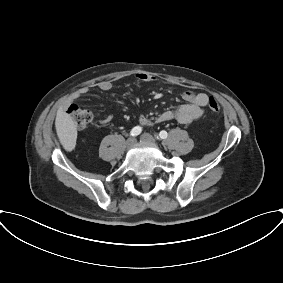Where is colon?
Listing matches in <instances>:
<instances>
[{"mask_svg":"<svg viewBox=\"0 0 283 283\" xmlns=\"http://www.w3.org/2000/svg\"><path fill=\"white\" fill-rule=\"evenodd\" d=\"M208 108L213 114L219 113L220 105L214 97H209ZM66 115L78 129H85L93 121V115L90 111L82 109L75 104L68 107Z\"/></svg>","mask_w":283,"mask_h":283,"instance_id":"obj_1","label":"colon"}]
</instances>
